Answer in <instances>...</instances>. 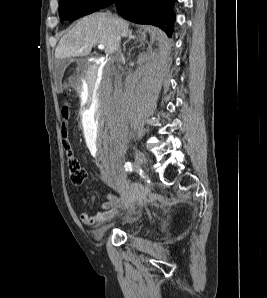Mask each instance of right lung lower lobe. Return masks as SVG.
Here are the masks:
<instances>
[{"label": "right lung lower lobe", "instance_id": "98d812e1", "mask_svg": "<svg viewBox=\"0 0 267 298\" xmlns=\"http://www.w3.org/2000/svg\"><path fill=\"white\" fill-rule=\"evenodd\" d=\"M175 0H106L100 8L115 3L118 13L138 24L160 27L171 37L174 23L172 5ZM99 8V9H100Z\"/></svg>", "mask_w": 267, "mask_h": 298}]
</instances>
